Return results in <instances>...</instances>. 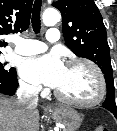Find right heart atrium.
I'll return each instance as SVG.
<instances>
[{
  "mask_svg": "<svg viewBox=\"0 0 117 131\" xmlns=\"http://www.w3.org/2000/svg\"><path fill=\"white\" fill-rule=\"evenodd\" d=\"M21 89L30 95H36L41 91V87L35 83H29L26 81L20 82Z\"/></svg>",
  "mask_w": 117,
  "mask_h": 131,
  "instance_id": "1",
  "label": "right heart atrium"
}]
</instances>
